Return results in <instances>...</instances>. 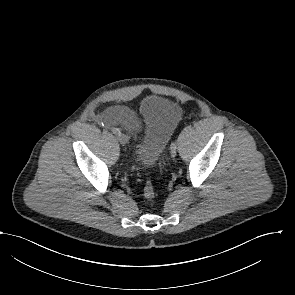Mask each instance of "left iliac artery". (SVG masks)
Instances as JSON below:
<instances>
[{
  "label": "left iliac artery",
  "mask_w": 295,
  "mask_h": 295,
  "mask_svg": "<svg viewBox=\"0 0 295 295\" xmlns=\"http://www.w3.org/2000/svg\"><path fill=\"white\" fill-rule=\"evenodd\" d=\"M170 148H176V142H172Z\"/></svg>",
  "instance_id": "44dca946"
}]
</instances>
